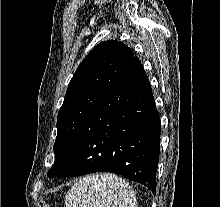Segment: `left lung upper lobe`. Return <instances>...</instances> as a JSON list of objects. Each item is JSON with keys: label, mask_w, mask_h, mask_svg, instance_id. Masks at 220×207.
<instances>
[{"label": "left lung upper lobe", "mask_w": 220, "mask_h": 207, "mask_svg": "<svg viewBox=\"0 0 220 207\" xmlns=\"http://www.w3.org/2000/svg\"><path fill=\"white\" fill-rule=\"evenodd\" d=\"M133 58V51L122 42L107 40L95 46L78 66L58 113L53 166Z\"/></svg>", "instance_id": "1"}]
</instances>
